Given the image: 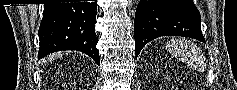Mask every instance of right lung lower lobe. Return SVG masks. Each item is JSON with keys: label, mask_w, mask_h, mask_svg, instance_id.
<instances>
[{"label": "right lung lower lobe", "mask_w": 237, "mask_h": 90, "mask_svg": "<svg viewBox=\"0 0 237 90\" xmlns=\"http://www.w3.org/2000/svg\"><path fill=\"white\" fill-rule=\"evenodd\" d=\"M96 2L44 4L38 59L60 50H78L100 65L95 33Z\"/></svg>", "instance_id": "right-lung-lower-lobe-1"}]
</instances>
